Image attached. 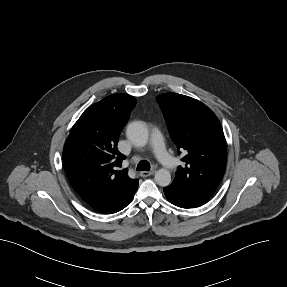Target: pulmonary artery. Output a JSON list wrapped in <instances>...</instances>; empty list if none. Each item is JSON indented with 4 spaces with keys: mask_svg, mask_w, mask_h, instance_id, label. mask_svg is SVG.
Wrapping results in <instances>:
<instances>
[{
    "mask_svg": "<svg viewBox=\"0 0 287 287\" xmlns=\"http://www.w3.org/2000/svg\"><path fill=\"white\" fill-rule=\"evenodd\" d=\"M150 145L159 162L166 168H170L175 164V160L171 158L165 148L160 129L156 126L153 128L150 138Z\"/></svg>",
    "mask_w": 287,
    "mask_h": 287,
    "instance_id": "pulmonary-artery-1",
    "label": "pulmonary artery"
}]
</instances>
